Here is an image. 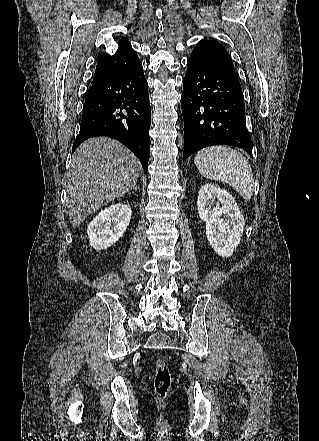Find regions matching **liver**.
<instances>
[{
	"label": "liver",
	"mask_w": 319,
	"mask_h": 441,
	"mask_svg": "<svg viewBox=\"0 0 319 441\" xmlns=\"http://www.w3.org/2000/svg\"><path fill=\"white\" fill-rule=\"evenodd\" d=\"M142 166L124 145L108 137L87 139L75 151L67 173L66 203L73 227L132 190Z\"/></svg>",
	"instance_id": "obj_1"
}]
</instances>
